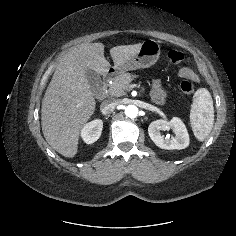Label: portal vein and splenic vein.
<instances>
[{"label":"portal vein and splenic vein","mask_w":236,"mask_h":236,"mask_svg":"<svg viewBox=\"0 0 236 236\" xmlns=\"http://www.w3.org/2000/svg\"><path fill=\"white\" fill-rule=\"evenodd\" d=\"M135 86H136V85H130L129 87H130V88H133V87H135Z\"/></svg>","instance_id":"1"}]
</instances>
